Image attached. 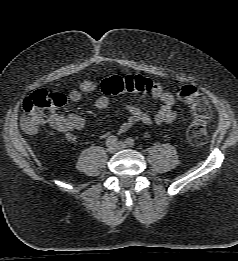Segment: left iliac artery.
Listing matches in <instances>:
<instances>
[{
    "instance_id": "obj_1",
    "label": "left iliac artery",
    "mask_w": 238,
    "mask_h": 261,
    "mask_svg": "<svg viewBox=\"0 0 238 261\" xmlns=\"http://www.w3.org/2000/svg\"><path fill=\"white\" fill-rule=\"evenodd\" d=\"M125 142H126V144H127L128 146H130V147H133V146L135 145V141H134V139L131 138V137L127 138Z\"/></svg>"
}]
</instances>
